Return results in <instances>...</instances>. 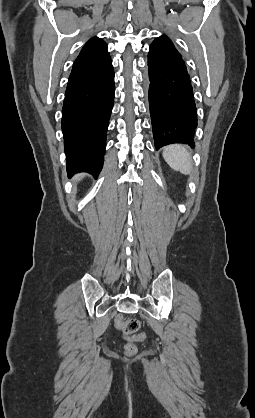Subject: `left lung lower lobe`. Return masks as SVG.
Instances as JSON below:
<instances>
[{
  "label": "left lung lower lobe",
  "instance_id": "left-lung-lower-lobe-1",
  "mask_svg": "<svg viewBox=\"0 0 255 418\" xmlns=\"http://www.w3.org/2000/svg\"><path fill=\"white\" fill-rule=\"evenodd\" d=\"M149 105L156 149L171 143L194 145L197 127L193 88L185 62L167 37L148 53Z\"/></svg>",
  "mask_w": 255,
  "mask_h": 418
}]
</instances>
